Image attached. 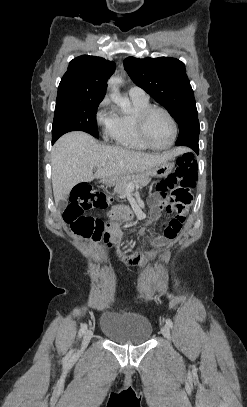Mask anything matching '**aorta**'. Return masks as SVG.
Segmentation results:
<instances>
[{"label": "aorta", "instance_id": "obj_1", "mask_svg": "<svg viewBox=\"0 0 247 407\" xmlns=\"http://www.w3.org/2000/svg\"><path fill=\"white\" fill-rule=\"evenodd\" d=\"M120 82H121V79L118 77H111L108 82V85L111 89L110 97L115 103H121L123 101V98L120 95L119 87H118Z\"/></svg>", "mask_w": 247, "mask_h": 407}]
</instances>
